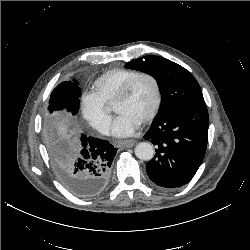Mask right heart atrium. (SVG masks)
Wrapping results in <instances>:
<instances>
[{"instance_id":"obj_1","label":"right heart atrium","mask_w":250,"mask_h":250,"mask_svg":"<svg viewBox=\"0 0 250 250\" xmlns=\"http://www.w3.org/2000/svg\"><path fill=\"white\" fill-rule=\"evenodd\" d=\"M81 116L90 127L99 133H108L111 124V116L106 107L90 94L85 95L82 99Z\"/></svg>"}]
</instances>
